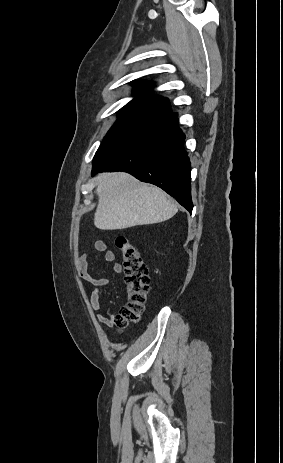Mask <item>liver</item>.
I'll list each match as a JSON object with an SVG mask.
<instances>
[{
	"mask_svg": "<svg viewBox=\"0 0 283 463\" xmlns=\"http://www.w3.org/2000/svg\"><path fill=\"white\" fill-rule=\"evenodd\" d=\"M96 181L94 225L101 230L160 223L178 211L160 188L141 183L127 173H101Z\"/></svg>",
	"mask_w": 283,
	"mask_h": 463,
	"instance_id": "obj_1",
	"label": "liver"
}]
</instances>
